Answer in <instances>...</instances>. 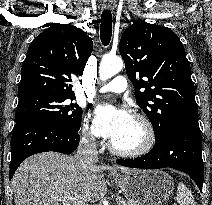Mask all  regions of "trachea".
Returning a JSON list of instances; mask_svg holds the SVG:
<instances>
[{
	"label": "trachea",
	"mask_w": 212,
	"mask_h": 205,
	"mask_svg": "<svg viewBox=\"0 0 212 205\" xmlns=\"http://www.w3.org/2000/svg\"><path fill=\"white\" fill-rule=\"evenodd\" d=\"M112 36V14L110 10H104L101 15L100 38L102 44L107 46Z\"/></svg>",
	"instance_id": "3493384b"
}]
</instances>
